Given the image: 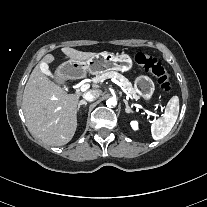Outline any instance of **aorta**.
<instances>
[{"label": "aorta", "mask_w": 207, "mask_h": 207, "mask_svg": "<svg viewBox=\"0 0 207 207\" xmlns=\"http://www.w3.org/2000/svg\"><path fill=\"white\" fill-rule=\"evenodd\" d=\"M116 104L114 102H108L107 103V110H109L110 112H113L112 108L115 106Z\"/></svg>", "instance_id": "aorta-1"}]
</instances>
